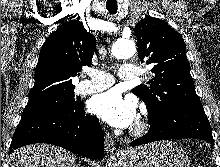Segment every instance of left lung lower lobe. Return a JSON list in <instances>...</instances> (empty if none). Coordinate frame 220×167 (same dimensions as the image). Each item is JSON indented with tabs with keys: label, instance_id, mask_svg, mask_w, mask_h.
Returning <instances> with one entry per match:
<instances>
[{
	"label": "left lung lower lobe",
	"instance_id": "1",
	"mask_svg": "<svg viewBox=\"0 0 220 167\" xmlns=\"http://www.w3.org/2000/svg\"><path fill=\"white\" fill-rule=\"evenodd\" d=\"M148 122V133L134 140L131 146L179 138H198L214 144L211 127L201 103L173 102L162 112H148Z\"/></svg>",
	"mask_w": 220,
	"mask_h": 167
}]
</instances>
